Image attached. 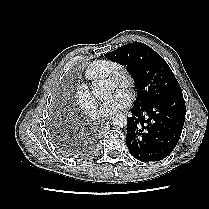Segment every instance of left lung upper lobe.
<instances>
[{
  "instance_id": "5c2ea615",
  "label": "left lung upper lobe",
  "mask_w": 209,
  "mask_h": 209,
  "mask_svg": "<svg viewBox=\"0 0 209 209\" xmlns=\"http://www.w3.org/2000/svg\"><path fill=\"white\" fill-rule=\"evenodd\" d=\"M106 58L127 66L136 79L137 97L134 106L182 94L181 87L166 61L149 46L129 43L106 53Z\"/></svg>"
}]
</instances>
